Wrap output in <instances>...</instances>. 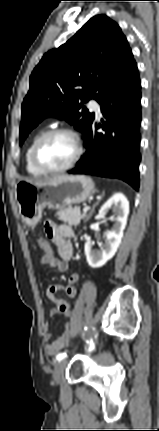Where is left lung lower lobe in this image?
Listing matches in <instances>:
<instances>
[{"label": "left lung lower lobe", "mask_w": 159, "mask_h": 431, "mask_svg": "<svg viewBox=\"0 0 159 431\" xmlns=\"http://www.w3.org/2000/svg\"><path fill=\"white\" fill-rule=\"evenodd\" d=\"M141 82L137 64L124 75L100 103L103 124L93 121L85 134L86 153L70 174L118 178L134 189L140 186ZM102 128L103 132L97 130Z\"/></svg>", "instance_id": "0a47b994"}]
</instances>
